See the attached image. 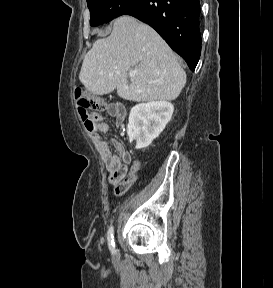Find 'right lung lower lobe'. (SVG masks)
<instances>
[{"label": "right lung lower lobe", "instance_id": "obj_1", "mask_svg": "<svg viewBox=\"0 0 273 288\" xmlns=\"http://www.w3.org/2000/svg\"><path fill=\"white\" fill-rule=\"evenodd\" d=\"M123 15L154 28L195 69L201 53L199 0H135Z\"/></svg>", "mask_w": 273, "mask_h": 288}]
</instances>
